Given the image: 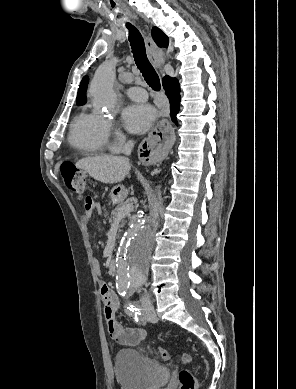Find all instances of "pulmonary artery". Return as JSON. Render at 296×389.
Masks as SVG:
<instances>
[{
    "instance_id": "pulmonary-artery-1",
    "label": "pulmonary artery",
    "mask_w": 296,
    "mask_h": 389,
    "mask_svg": "<svg viewBox=\"0 0 296 389\" xmlns=\"http://www.w3.org/2000/svg\"><path fill=\"white\" fill-rule=\"evenodd\" d=\"M126 93L135 101L143 102L147 100V93L145 89L141 87H130L126 90Z\"/></svg>"
}]
</instances>
